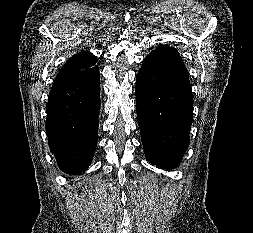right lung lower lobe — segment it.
<instances>
[{
    "instance_id": "right-lung-lower-lobe-1",
    "label": "right lung lower lobe",
    "mask_w": 253,
    "mask_h": 233,
    "mask_svg": "<svg viewBox=\"0 0 253 233\" xmlns=\"http://www.w3.org/2000/svg\"><path fill=\"white\" fill-rule=\"evenodd\" d=\"M100 110L98 66L58 73L47 102L46 133L60 169L85 171L95 153Z\"/></svg>"
}]
</instances>
